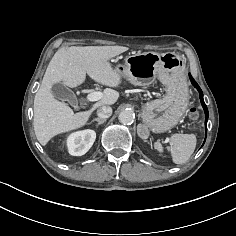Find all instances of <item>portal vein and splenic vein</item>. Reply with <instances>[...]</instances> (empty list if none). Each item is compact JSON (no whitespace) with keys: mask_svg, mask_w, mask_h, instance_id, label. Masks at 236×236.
<instances>
[{"mask_svg":"<svg viewBox=\"0 0 236 236\" xmlns=\"http://www.w3.org/2000/svg\"><path fill=\"white\" fill-rule=\"evenodd\" d=\"M103 94L101 92H91L87 95V100L89 102L98 101L102 98Z\"/></svg>","mask_w":236,"mask_h":236,"instance_id":"obj_1","label":"portal vein and splenic vein"}]
</instances>
